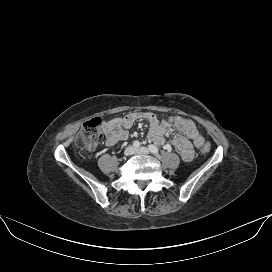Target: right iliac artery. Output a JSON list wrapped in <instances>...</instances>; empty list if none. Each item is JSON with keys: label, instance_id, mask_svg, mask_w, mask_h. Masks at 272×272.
<instances>
[{"label": "right iliac artery", "instance_id": "obj_1", "mask_svg": "<svg viewBox=\"0 0 272 272\" xmlns=\"http://www.w3.org/2000/svg\"><path fill=\"white\" fill-rule=\"evenodd\" d=\"M133 146L135 147V148H138L139 146H140V142L139 141H134L133 142Z\"/></svg>", "mask_w": 272, "mask_h": 272}]
</instances>
